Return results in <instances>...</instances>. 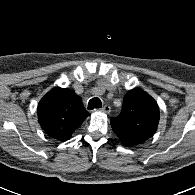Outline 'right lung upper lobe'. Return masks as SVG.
I'll list each match as a JSON object with an SVG mask.
<instances>
[{
  "label": "right lung upper lobe",
  "mask_w": 195,
  "mask_h": 195,
  "mask_svg": "<svg viewBox=\"0 0 195 195\" xmlns=\"http://www.w3.org/2000/svg\"><path fill=\"white\" fill-rule=\"evenodd\" d=\"M90 114L74 90L53 88L38 104V121L50 137L65 141Z\"/></svg>",
  "instance_id": "right-lung-upper-lobe-1"
}]
</instances>
